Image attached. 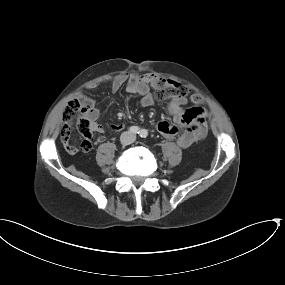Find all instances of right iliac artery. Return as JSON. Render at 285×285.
Instances as JSON below:
<instances>
[{
	"instance_id": "1",
	"label": "right iliac artery",
	"mask_w": 285,
	"mask_h": 285,
	"mask_svg": "<svg viewBox=\"0 0 285 285\" xmlns=\"http://www.w3.org/2000/svg\"><path fill=\"white\" fill-rule=\"evenodd\" d=\"M129 132L133 133V134H137L140 132V129L137 126H131L129 128Z\"/></svg>"
}]
</instances>
